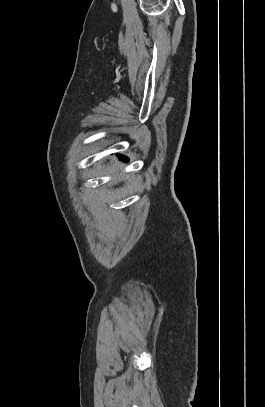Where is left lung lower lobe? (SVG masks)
Listing matches in <instances>:
<instances>
[{
  "instance_id": "obj_1",
  "label": "left lung lower lobe",
  "mask_w": 265,
  "mask_h": 407,
  "mask_svg": "<svg viewBox=\"0 0 265 407\" xmlns=\"http://www.w3.org/2000/svg\"><path fill=\"white\" fill-rule=\"evenodd\" d=\"M118 157L120 158V160H123V161H128V159H127L125 156L118 155Z\"/></svg>"
}]
</instances>
